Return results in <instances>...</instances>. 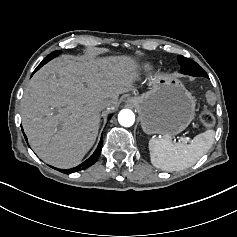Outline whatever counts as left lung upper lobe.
<instances>
[{
    "mask_svg": "<svg viewBox=\"0 0 237 237\" xmlns=\"http://www.w3.org/2000/svg\"><path fill=\"white\" fill-rule=\"evenodd\" d=\"M177 59L181 65V73L196 77L201 76L209 79L207 73L193 60L185 58L181 55H179Z\"/></svg>",
    "mask_w": 237,
    "mask_h": 237,
    "instance_id": "1",
    "label": "left lung upper lobe"
}]
</instances>
